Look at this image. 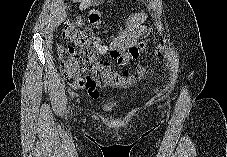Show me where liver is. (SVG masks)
Wrapping results in <instances>:
<instances>
[{
	"label": "liver",
	"mask_w": 227,
	"mask_h": 157,
	"mask_svg": "<svg viewBox=\"0 0 227 157\" xmlns=\"http://www.w3.org/2000/svg\"><path fill=\"white\" fill-rule=\"evenodd\" d=\"M91 2H92L91 0L85 1V3H86L87 5H89Z\"/></svg>",
	"instance_id": "obj_1"
}]
</instances>
